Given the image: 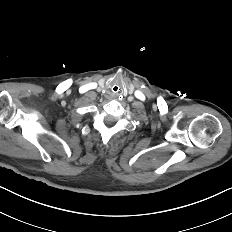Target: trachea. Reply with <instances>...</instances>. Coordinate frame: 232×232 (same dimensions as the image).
<instances>
[{"mask_svg":"<svg viewBox=\"0 0 232 232\" xmlns=\"http://www.w3.org/2000/svg\"><path fill=\"white\" fill-rule=\"evenodd\" d=\"M121 91V87L118 85V84H114L112 87H111V92L112 93H119Z\"/></svg>","mask_w":232,"mask_h":232,"instance_id":"trachea-1","label":"trachea"}]
</instances>
